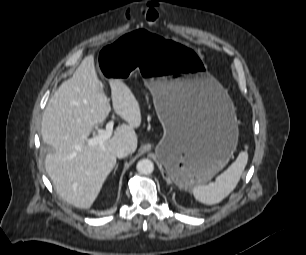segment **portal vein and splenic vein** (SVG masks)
<instances>
[{"mask_svg": "<svg viewBox=\"0 0 306 255\" xmlns=\"http://www.w3.org/2000/svg\"><path fill=\"white\" fill-rule=\"evenodd\" d=\"M114 121L111 120L107 123L106 129H97L98 134L93 138L87 139V144L89 146L102 145L106 140H108L113 133Z\"/></svg>", "mask_w": 306, "mask_h": 255, "instance_id": "1", "label": "portal vein and splenic vein"}]
</instances>
